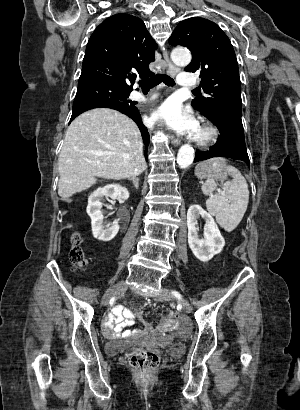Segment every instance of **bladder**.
Instances as JSON below:
<instances>
[{
    "mask_svg": "<svg viewBox=\"0 0 300 410\" xmlns=\"http://www.w3.org/2000/svg\"><path fill=\"white\" fill-rule=\"evenodd\" d=\"M134 342V340H130V341H111L108 342L106 344V350L109 351L111 354L116 355L118 353H120L121 351H123L128 344ZM179 347L178 345H173L171 346V351L173 353H177Z\"/></svg>",
    "mask_w": 300,
    "mask_h": 410,
    "instance_id": "1",
    "label": "bladder"
}]
</instances>
